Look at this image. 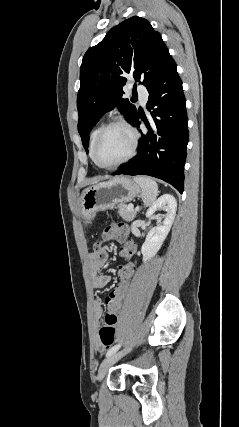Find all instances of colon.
<instances>
[{"label": "colon", "mask_w": 239, "mask_h": 427, "mask_svg": "<svg viewBox=\"0 0 239 427\" xmlns=\"http://www.w3.org/2000/svg\"><path fill=\"white\" fill-rule=\"evenodd\" d=\"M129 226L125 222H109L101 235L100 241L95 244L98 250L102 242L109 244H122L119 254L122 262H118V281L112 285V289L104 297L103 302L108 305L105 310L104 324L99 331L100 342L104 348L109 347L115 340L119 314L125 303V297L130 292L133 276L136 275V263L131 262V257L137 249L136 242L130 239Z\"/></svg>", "instance_id": "5ec220e1"}]
</instances>
